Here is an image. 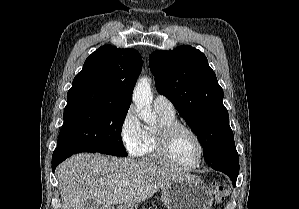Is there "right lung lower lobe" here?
<instances>
[{"instance_id":"obj_1","label":"right lung lower lobe","mask_w":299,"mask_h":209,"mask_svg":"<svg viewBox=\"0 0 299 209\" xmlns=\"http://www.w3.org/2000/svg\"><path fill=\"white\" fill-rule=\"evenodd\" d=\"M80 152H93L83 149H77V148H68V147H57L52 156V171L54 172L57 165L61 163L66 158L70 157L73 154H77Z\"/></svg>"}]
</instances>
